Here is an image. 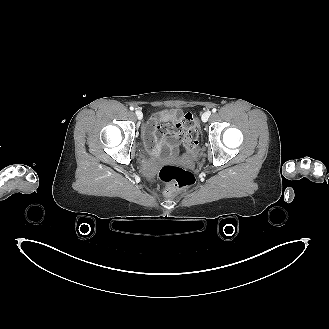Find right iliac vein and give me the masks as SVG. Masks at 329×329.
Masks as SVG:
<instances>
[{"label":"right iliac vein","mask_w":329,"mask_h":329,"mask_svg":"<svg viewBox=\"0 0 329 329\" xmlns=\"http://www.w3.org/2000/svg\"><path fill=\"white\" fill-rule=\"evenodd\" d=\"M135 114H136V116H137V118H138L139 120H141V119L143 118V114H142V112H141L140 110H136V111H135Z\"/></svg>","instance_id":"1"}]
</instances>
